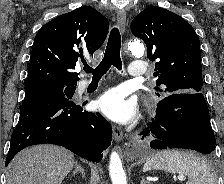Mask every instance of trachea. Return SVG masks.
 Returning <instances> with one entry per match:
<instances>
[{
	"label": "trachea",
	"instance_id": "1",
	"mask_svg": "<svg viewBox=\"0 0 224 184\" xmlns=\"http://www.w3.org/2000/svg\"><path fill=\"white\" fill-rule=\"evenodd\" d=\"M120 49L121 35L117 28H113L108 39L104 57L100 64L95 69L85 65L83 68L84 71L92 73L93 79H100L104 74L107 73L112 65L118 70H121L122 62L120 58Z\"/></svg>",
	"mask_w": 224,
	"mask_h": 184
}]
</instances>
